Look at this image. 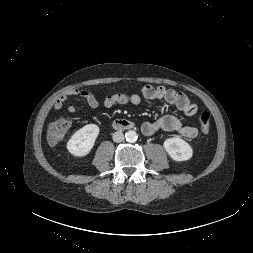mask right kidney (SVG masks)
Instances as JSON below:
<instances>
[{"label":"right kidney","instance_id":"ca27d5eb","mask_svg":"<svg viewBox=\"0 0 253 253\" xmlns=\"http://www.w3.org/2000/svg\"><path fill=\"white\" fill-rule=\"evenodd\" d=\"M99 131V127L95 124L85 125L69 139L67 143L68 151L74 156H86L92 150Z\"/></svg>","mask_w":253,"mask_h":253}]
</instances>
